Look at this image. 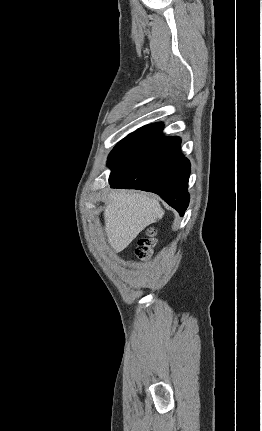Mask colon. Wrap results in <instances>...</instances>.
Wrapping results in <instances>:
<instances>
[{
    "mask_svg": "<svg viewBox=\"0 0 262 431\" xmlns=\"http://www.w3.org/2000/svg\"><path fill=\"white\" fill-rule=\"evenodd\" d=\"M153 232L149 231L147 236L141 237L138 240L137 247L135 249V255L139 259H146L150 256L151 247L153 243Z\"/></svg>",
    "mask_w": 262,
    "mask_h": 431,
    "instance_id": "obj_1",
    "label": "colon"
}]
</instances>
